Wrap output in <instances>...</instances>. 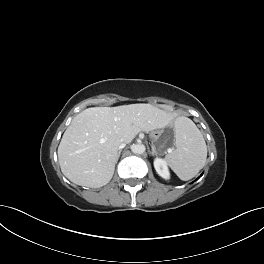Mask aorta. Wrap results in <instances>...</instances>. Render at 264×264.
<instances>
[{
	"mask_svg": "<svg viewBox=\"0 0 264 264\" xmlns=\"http://www.w3.org/2000/svg\"><path fill=\"white\" fill-rule=\"evenodd\" d=\"M131 150L134 154H143L146 148L143 144H135L132 146Z\"/></svg>",
	"mask_w": 264,
	"mask_h": 264,
	"instance_id": "aorta-1",
	"label": "aorta"
}]
</instances>
